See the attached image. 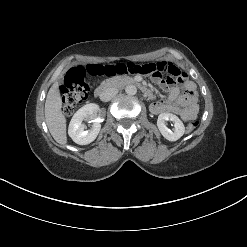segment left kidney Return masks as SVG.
<instances>
[{"label": "left kidney", "instance_id": "1", "mask_svg": "<svg viewBox=\"0 0 247 247\" xmlns=\"http://www.w3.org/2000/svg\"><path fill=\"white\" fill-rule=\"evenodd\" d=\"M172 121L175 124V129L172 131L166 126V121ZM157 126L164 138L169 141H176L183 136L185 127L183 122L172 113H161L158 116Z\"/></svg>", "mask_w": 247, "mask_h": 247}]
</instances>
